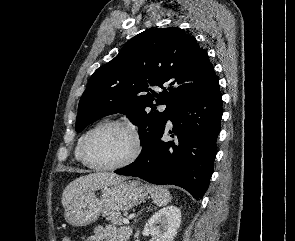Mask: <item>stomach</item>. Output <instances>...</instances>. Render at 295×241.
Returning a JSON list of instances; mask_svg holds the SVG:
<instances>
[{
	"label": "stomach",
	"instance_id": "stomach-1",
	"mask_svg": "<svg viewBox=\"0 0 295 241\" xmlns=\"http://www.w3.org/2000/svg\"><path fill=\"white\" fill-rule=\"evenodd\" d=\"M148 194L138 180H121L101 188L100 198L90 191L75 198L65 209L64 217L72 226L94 223L105 211H128L144 202Z\"/></svg>",
	"mask_w": 295,
	"mask_h": 241
}]
</instances>
